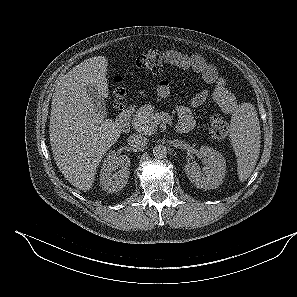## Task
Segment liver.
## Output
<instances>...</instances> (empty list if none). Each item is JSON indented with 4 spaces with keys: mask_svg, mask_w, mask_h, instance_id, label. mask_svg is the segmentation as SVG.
<instances>
[{
    "mask_svg": "<svg viewBox=\"0 0 297 297\" xmlns=\"http://www.w3.org/2000/svg\"><path fill=\"white\" fill-rule=\"evenodd\" d=\"M107 58L84 60L62 77L52 97L49 136L60 172L76 188L92 187L104 154L120 137V129L87 95L86 85L108 97Z\"/></svg>",
    "mask_w": 297,
    "mask_h": 297,
    "instance_id": "1",
    "label": "liver"
}]
</instances>
